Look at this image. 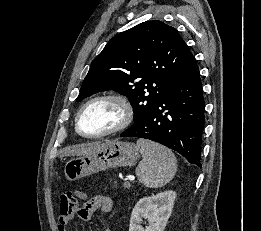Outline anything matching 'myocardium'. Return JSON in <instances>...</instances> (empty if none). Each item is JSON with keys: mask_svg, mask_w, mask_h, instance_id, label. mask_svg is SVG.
Segmentation results:
<instances>
[{"mask_svg": "<svg viewBox=\"0 0 261 231\" xmlns=\"http://www.w3.org/2000/svg\"><path fill=\"white\" fill-rule=\"evenodd\" d=\"M103 100H110V101H114L116 102L121 110H122V120L121 122L114 128L99 133V134H85L84 132H82L81 128H80V117L83 113V111L90 106L91 104L98 102V101H103ZM134 119V108L132 103L130 102V100L120 94H114V93H110V94H103V95H99L96 97L91 98L90 100L86 101L78 110L76 117H75V130L76 132L84 138H88V139H97V138H102V137H106L112 134H116L119 132L124 131L125 129H127L132 121Z\"/></svg>", "mask_w": 261, "mask_h": 231, "instance_id": "obj_1", "label": "myocardium"}]
</instances>
